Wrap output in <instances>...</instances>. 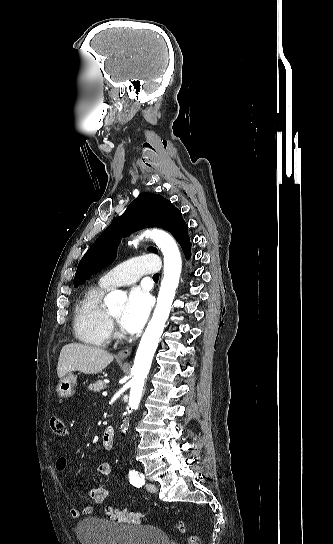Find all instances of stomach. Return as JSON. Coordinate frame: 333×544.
Listing matches in <instances>:
<instances>
[{
	"instance_id": "0dacf381",
	"label": "stomach",
	"mask_w": 333,
	"mask_h": 544,
	"mask_svg": "<svg viewBox=\"0 0 333 544\" xmlns=\"http://www.w3.org/2000/svg\"><path fill=\"white\" fill-rule=\"evenodd\" d=\"M77 387V378L69 373L60 379L56 388L57 394L61 398H68L75 394Z\"/></svg>"
}]
</instances>
